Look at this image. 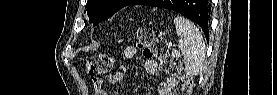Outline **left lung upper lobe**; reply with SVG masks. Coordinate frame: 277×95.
Returning a JSON list of instances; mask_svg holds the SVG:
<instances>
[{"label":"left lung upper lobe","mask_w":277,"mask_h":95,"mask_svg":"<svg viewBox=\"0 0 277 95\" xmlns=\"http://www.w3.org/2000/svg\"><path fill=\"white\" fill-rule=\"evenodd\" d=\"M135 0H88L86 14L89 21L97 25L111 17L121 8L131 5ZM177 0H161L157 7L167 8L176 3Z\"/></svg>","instance_id":"1"}]
</instances>
